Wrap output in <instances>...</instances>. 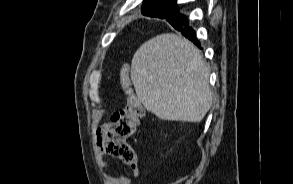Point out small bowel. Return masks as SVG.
I'll return each instance as SVG.
<instances>
[{"instance_id":"1","label":"small bowel","mask_w":293,"mask_h":184,"mask_svg":"<svg viewBox=\"0 0 293 184\" xmlns=\"http://www.w3.org/2000/svg\"><path fill=\"white\" fill-rule=\"evenodd\" d=\"M107 128H108V125L103 123L97 128L94 135V141L96 143V146H95L96 159L99 166L104 169L110 168V164L102 157L103 155L102 143L104 141ZM131 171L135 177L139 175V167L137 162H135L134 164H131ZM105 184H130V179L123 174H117V175L106 174Z\"/></svg>"}]
</instances>
